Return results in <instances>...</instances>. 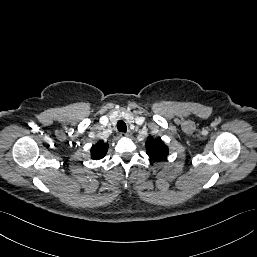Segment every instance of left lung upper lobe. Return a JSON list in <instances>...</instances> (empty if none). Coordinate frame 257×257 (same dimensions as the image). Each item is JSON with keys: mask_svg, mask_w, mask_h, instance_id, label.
<instances>
[{"mask_svg": "<svg viewBox=\"0 0 257 257\" xmlns=\"http://www.w3.org/2000/svg\"><path fill=\"white\" fill-rule=\"evenodd\" d=\"M145 145L148 156L155 161H161L168 155V147L160 138L150 137Z\"/></svg>", "mask_w": 257, "mask_h": 257, "instance_id": "5c2ea615", "label": "left lung upper lobe"}]
</instances>
